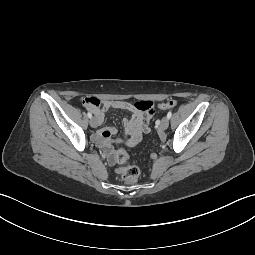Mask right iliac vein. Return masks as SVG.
I'll use <instances>...</instances> for the list:
<instances>
[{
    "instance_id": "1",
    "label": "right iliac vein",
    "mask_w": 255,
    "mask_h": 255,
    "mask_svg": "<svg viewBox=\"0 0 255 255\" xmlns=\"http://www.w3.org/2000/svg\"><path fill=\"white\" fill-rule=\"evenodd\" d=\"M89 123L91 127L93 128L97 127V120L95 118H91Z\"/></svg>"
}]
</instances>
